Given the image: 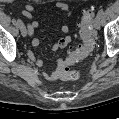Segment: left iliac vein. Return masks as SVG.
I'll return each mask as SVG.
<instances>
[{
  "label": "left iliac vein",
  "instance_id": "obj_1",
  "mask_svg": "<svg viewBox=\"0 0 119 119\" xmlns=\"http://www.w3.org/2000/svg\"><path fill=\"white\" fill-rule=\"evenodd\" d=\"M100 23H101V17L97 15L94 19V22H93L95 29L100 28Z\"/></svg>",
  "mask_w": 119,
  "mask_h": 119
}]
</instances>
